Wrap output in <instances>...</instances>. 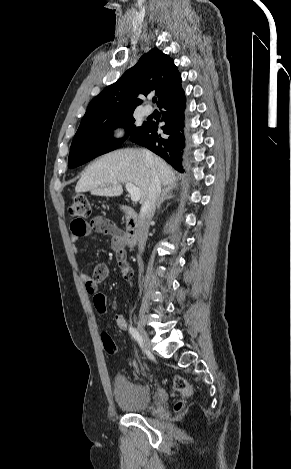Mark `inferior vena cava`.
<instances>
[{"mask_svg": "<svg viewBox=\"0 0 291 469\" xmlns=\"http://www.w3.org/2000/svg\"><path fill=\"white\" fill-rule=\"evenodd\" d=\"M145 162L148 163L154 173V176L151 180L149 191L146 200L143 202L140 213H139V227H138V261L141 260V254L144 251L147 235L149 230V222L154 215L156 204L159 200L161 193V183L159 177L154 172V161L152 154L147 150L141 151Z\"/></svg>", "mask_w": 291, "mask_h": 469, "instance_id": "602c4592", "label": "inferior vena cava"}]
</instances>
